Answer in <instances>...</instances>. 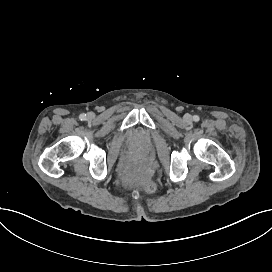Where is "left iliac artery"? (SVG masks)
Listing matches in <instances>:
<instances>
[{
    "mask_svg": "<svg viewBox=\"0 0 272 272\" xmlns=\"http://www.w3.org/2000/svg\"><path fill=\"white\" fill-rule=\"evenodd\" d=\"M199 119H200L199 116H197V115H194V116H193V120H194V121L197 122V121H199Z\"/></svg>",
    "mask_w": 272,
    "mask_h": 272,
    "instance_id": "left-iliac-artery-1",
    "label": "left iliac artery"
}]
</instances>
